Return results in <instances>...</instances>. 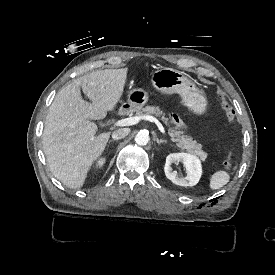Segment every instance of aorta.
<instances>
[{
    "label": "aorta",
    "mask_w": 275,
    "mask_h": 275,
    "mask_svg": "<svg viewBox=\"0 0 275 275\" xmlns=\"http://www.w3.org/2000/svg\"><path fill=\"white\" fill-rule=\"evenodd\" d=\"M150 138L147 132L141 131L136 134L135 136V143L139 146H145L148 144Z\"/></svg>",
    "instance_id": "aorta-1"
}]
</instances>
